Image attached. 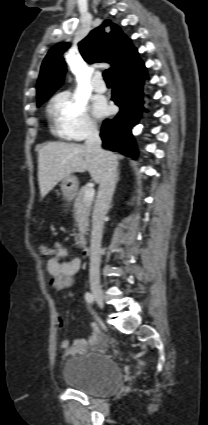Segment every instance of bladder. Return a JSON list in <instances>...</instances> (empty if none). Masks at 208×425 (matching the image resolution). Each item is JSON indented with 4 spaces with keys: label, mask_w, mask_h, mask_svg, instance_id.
<instances>
[{
    "label": "bladder",
    "mask_w": 208,
    "mask_h": 425,
    "mask_svg": "<svg viewBox=\"0 0 208 425\" xmlns=\"http://www.w3.org/2000/svg\"><path fill=\"white\" fill-rule=\"evenodd\" d=\"M62 376L71 388L93 396L110 395L122 383V374L116 362L100 352L65 359Z\"/></svg>",
    "instance_id": "obj_1"
}]
</instances>
